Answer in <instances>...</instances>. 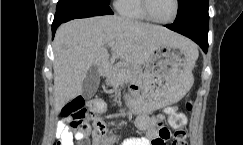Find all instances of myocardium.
<instances>
[{
	"label": "myocardium",
	"instance_id": "obj_1",
	"mask_svg": "<svg viewBox=\"0 0 243 145\" xmlns=\"http://www.w3.org/2000/svg\"><path fill=\"white\" fill-rule=\"evenodd\" d=\"M140 2H141V8H142L145 16L150 21L158 23V24H164V25L172 24L176 20L178 14H179V8H180L179 0H174V4H175L174 13H173V16L171 17V19H169L167 21L158 20L152 15V13L150 11V6H149V0H140Z\"/></svg>",
	"mask_w": 243,
	"mask_h": 145
}]
</instances>
